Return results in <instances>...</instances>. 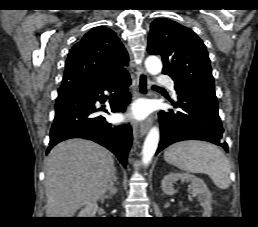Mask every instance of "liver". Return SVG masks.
<instances>
[{
    "label": "liver",
    "instance_id": "1",
    "mask_svg": "<svg viewBox=\"0 0 258 227\" xmlns=\"http://www.w3.org/2000/svg\"><path fill=\"white\" fill-rule=\"evenodd\" d=\"M114 173L111 153L84 139L56 145L45 160L47 217H72L101 199Z\"/></svg>",
    "mask_w": 258,
    "mask_h": 227
}]
</instances>
